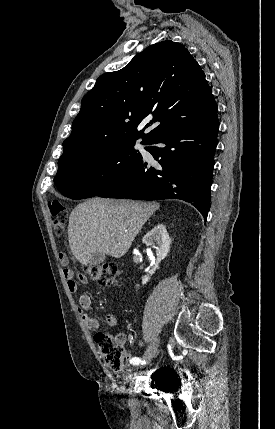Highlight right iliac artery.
<instances>
[{"mask_svg": "<svg viewBox=\"0 0 275 429\" xmlns=\"http://www.w3.org/2000/svg\"><path fill=\"white\" fill-rule=\"evenodd\" d=\"M131 363L133 364V365H138V364H145L146 362L145 361H142L139 357H133L132 359H131Z\"/></svg>", "mask_w": 275, "mask_h": 429, "instance_id": "1", "label": "right iliac artery"}]
</instances>
